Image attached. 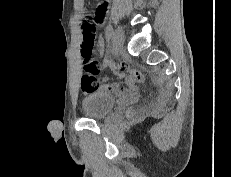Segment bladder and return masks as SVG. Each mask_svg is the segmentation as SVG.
I'll return each mask as SVG.
<instances>
[{
  "mask_svg": "<svg viewBox=\"0 0 231 177\" xmlns=\"http://www.w3.org/2000/svg\"><path fill=\"white\" fill-rule=\"evenodd\" d=\"M116 99L105 92H92L82 100V112L89 119H103L113 109Z\"/></svg>",
  "mask_w": 231,
  "mask_h": 177,
  "instance_id": "1",
  "label": "bladder"
}]
</instances>
